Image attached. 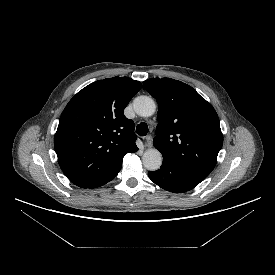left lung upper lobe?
I'll return each mask as SVG.
<instances>
[{
  "instance_id": "obj_1",
  "label": "left lung upper lobe",
  "mask_w": 275,
  "mask_h": 275,
  "mask_svg": "<svg viewBox=\"0 0 275 275\" xmlns=\"http://www.w3.org/2000/svg\"><path fill=\"white\" fill-rule=\"evenodd\" d=\"M145 89L158 102V125L153 144L164 161L206 178L223 145L219 118L195 89L170 78H151Z\"/></svg>"
}]
</instances>
